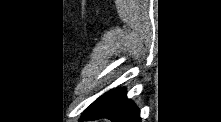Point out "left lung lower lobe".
<instances>
[{"mask_svg":"<svg viewBox=\"0 0 221 122\" xmlns=\"http://www.w3.org/2000/svg\"><path fill=\"white\" fill-rule=\"evenodd\" d=\"M109 118L115 122H141L137 106L126 97L124 88L110 90L94 101L82 114L83 120Z\"/></svg>","mask_w":221,"mask_h":122,"instance_id":"0a47b994","label":"left lung lower lobe"}]
</instances>
